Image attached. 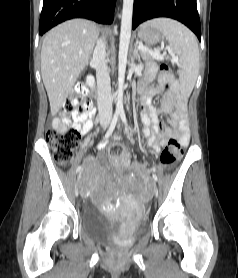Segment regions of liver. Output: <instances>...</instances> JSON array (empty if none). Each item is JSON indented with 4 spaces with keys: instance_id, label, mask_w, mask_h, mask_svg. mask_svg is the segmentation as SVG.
<instances>
[{
    "instance_id": "obj_1",
    "label": "liver",
    "mask_w": 238,
    "mask_h": 278,
    "mask_svg": "<svg viewBox=\"0 0 238 278\" xmlns=\"http://www.w3.org/2000/svg\"><path fill=\"white\" fill-rule=\"evenodd\" d=\"M98 36V26L85 19L66 21L46 34L41 48V76L53 115L65 104L88 64Z\"/></svg>"
}]
</instances>
